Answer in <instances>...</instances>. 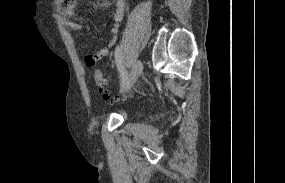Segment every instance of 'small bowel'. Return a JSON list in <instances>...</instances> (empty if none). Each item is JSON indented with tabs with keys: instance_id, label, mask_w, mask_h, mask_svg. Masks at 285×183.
<instances>
[{
	"instance_id": "small-bowel-1",
	"label": "small bowel",
	"mask_w": 285,
	"mask_h": 183,
	"mask_svg": "<svg viewBox=\"0 0 285 183\" xmlns=\"http://www.w3.org/2000/svg\"><path fill=\"white\" fill-rule=\"evenodd\" d=\"M112 2L114 5V9L112 13V24L110 28L111 38L105 47L101 48L96 53L87 54L85 56V63L89 67H95L100 59L108 56L112 47L115 45L117 41L120 25L125 12L126 0H112ZM108 5L109 2L105 1L97 5V7L108 6ZM63 14L67 19L68 26L72 30L74 31L82 30V24L73 20V17L75 15V6L73 4H68L67 6H65Z\"/></svg>"
}]
</instances>
